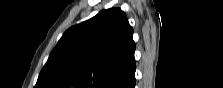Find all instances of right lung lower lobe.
<instances>
[{
  "instance_id": "98d812e1",
  "label": "right lung lower lobe",
  "mask_w": 223,
  "mask_h": 88,
  "mask_svg": "<svg viewBox=\"0 0 223 88\" xmlns=\"http://www.w3.org/2000/svg\"><path fill=\"white\" fill-rule=\"evenodd\" d=\"M135 86V78H134V81L129 85V88H134Z\"/></svg>"
}]
</instances>
